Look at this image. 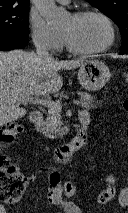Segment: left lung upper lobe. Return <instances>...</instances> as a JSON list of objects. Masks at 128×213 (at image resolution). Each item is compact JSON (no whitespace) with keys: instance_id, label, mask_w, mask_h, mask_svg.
<instances>
[{"instance_id":"left-lung-upper-lobe-1","label":"left lung upper lobe","mask_w":128,"mask_h":213,"mask_svg":"<svg viewBox=\"0 0 128 213\" xmlns=\"http://www.w3.org/2000/svg\"><path fill=\"white\" fill-rule=\"evenodd\" d=\"M112 19L122 36L120 51L128 50V0H86Z\"/></svg>"}]
</instances>
